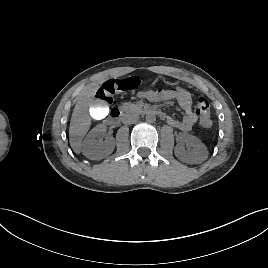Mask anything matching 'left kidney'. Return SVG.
<instances>
[{"label":"left kidney","mask_w":268,"mask_h":268,"mask_svg":"<svg viewBox=\"0 0 268 268\" xmlns=\"http://www.w3.org/2000/svg\"><path fill=\"white\" fill-rule=\"evenodd\" d=\"M177 142L174 154L180 161L191 164L201 163L207 159V148L199 138L191 134L179 133ZM185 146L187 149H185Z\"/></svg>","instance_id":"left-kidney-1"}]
</instances>
